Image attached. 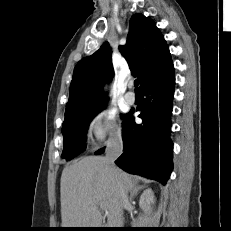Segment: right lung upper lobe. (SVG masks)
<instances>
[{"instance_id": "cb5924a9", "label": "right lung upper lobe", "mask_w": 231, "mask_h": 231, "mask_svg": "<svg viewBox=\"0 0 231 231\" xmlns=\"http://www.w3.org/2000/svg\"><path fill=\"white\" fill-rule=\"evenodd\" d=\"M119 50L139 79L140 88L174 71L163 35L155 22L142 14L131 17L127 43L119 46ZM112 74L111 48L105 42L99 50L75 66L65 114L105 104L102 86Z\"/></svg>"}]
</instances>
